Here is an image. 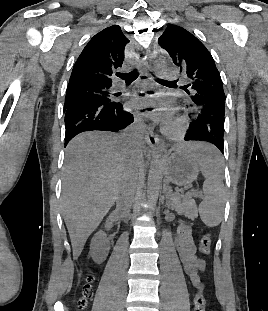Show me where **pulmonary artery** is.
<instances>
[{"label":"pulmonary artery","instance_id":"1","mask_svg":"<svg viewBox=\"0 0 268 311\" xmlns=\"http://www.w3.org/2000/svg\"><path fill=\"white\" fill-rule=\"evenodd\" d=\"M178 76V72L175 69H169L164 73V77L167 79H174ZM117 90L121 89V86L116 87Z\"/></svg>","mask_w":268,"mask_h":311}]
</instances>
